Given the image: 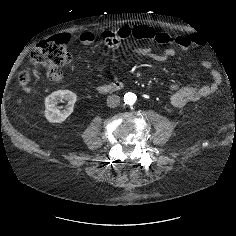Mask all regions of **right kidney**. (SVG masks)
<instances>
[{"instance_id": "right-kidney-1", "label": "right kidney", "mask_w": 236, "mask_h": 236, "mask_svg": "<svg viewBox=\"0 0 236 236\" xmlns=\"http://www.w3.org/2000/svg\"><path fill=\"white\" fill-rule=\"evenodd\" d=\"M67 101L64 110L57 106L59 101ZM77 95L69 90H57L45 98V117L51 123H61L73 112Z\"/></svg>"}]
</instances>
